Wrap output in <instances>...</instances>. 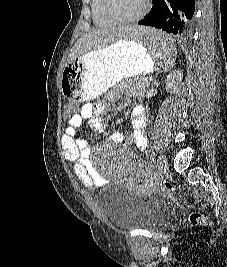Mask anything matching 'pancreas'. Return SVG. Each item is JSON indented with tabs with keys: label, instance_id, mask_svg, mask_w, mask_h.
<instances>
[{
	"label": "pancreas",
	"instance_id": "obj_1",
	"mask_svg": "<svg viewBox=\"0 0 227 267\" xmlns=\"http://www.w3.org/2000/svg\"><path fill=\"white\" fill-rule=\"evenodd\" d=\"M121 86H130L134 91H139L143 93L146 91L148 86V80L146 78L141 79H128L120 84Z\"/></svg>",
	"mask_w": 227,
	"mask_h": 267
}]
</instances>
